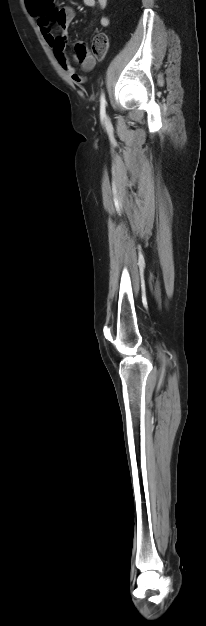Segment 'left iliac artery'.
Wrapping results in <instances>:
<instances>
[{"label":"left iliac artery","mask_w":206,"mask_h":626,"mask_svg":"<svg viewBox=\"0 0 206 626\" xmlns=\"http://www.w3.org/2000/svg\"><path fill=\"white\" fill-rule=\"evenodd\" d=\"M106 99L105 94L102 92L100 97V114L105 115Z\"/></svg>","instance_id":"left-iliac-artery-1"}]
</instances>
